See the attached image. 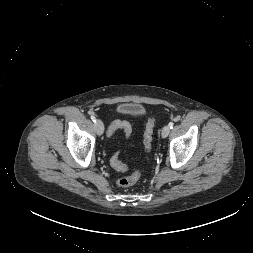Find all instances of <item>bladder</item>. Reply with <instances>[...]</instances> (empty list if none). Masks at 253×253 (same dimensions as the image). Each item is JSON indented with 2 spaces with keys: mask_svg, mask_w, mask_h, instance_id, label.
Instances as JSON below:
<instances>
[{
  "mask_svg": "<svg viewBox=\"0 0 253 253\" xmlns=\"http://www.w3.org/2000/svg\"><path fill=\"white\" fill-rule=\"evenodd\" d=\"M118 112L131 115H142L145 110L140 104L124 103L118 107Z\"/></svg>",
  "mask_w": 253,
  "mask_h": 253,
  "instance_id": "31cf9c89",
  "label": "bladder"
}]
</instances>
